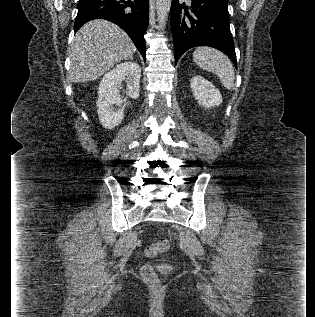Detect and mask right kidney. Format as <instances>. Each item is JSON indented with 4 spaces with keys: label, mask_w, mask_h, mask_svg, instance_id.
<instances>
[{
    "label": "right kidney",
    "mask_w": 315,
    "mask_h": 317,
    "mask_svg": "<svg viewBox=\"0 0 315 317\" xmlns=\"http://www.w3.org/2000/svg\"><path fill=\"white\" fill-rule=\"evenodd\" d=\"M141 68L137 63L124 62L106 73L98 87V116L100 123L107 129H113L119 125L124 117L125 101L119 94L118 89L122 88V82L127 83V94L136 99L140 93ZM113 105L121 107L115 110Z\"/></svg>",
    "instance_id": "ca27d5eb"
}]
</instances>
